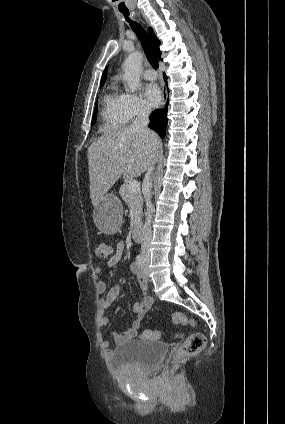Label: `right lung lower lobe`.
<instances>
[{"instance_id": "98d812e1", "label": "right lung lower lobe", "mask_w": 285, "mask_h": 424, "mask_svg": "<svg viewBox=\"0 0 285 424\" xmlns=\"http://www.w3.org/2000/svg\"><path fill=\"white\" fill-rule=\"evenodd\" d=\"M164 79L167 83V77L165 74H164ZM167 105H168V101L165 108L154 111L149 117L150 119L149 127L155 130L160 135L161 138H164L166 126H167Z\"/></svg>"}]
</instances>
